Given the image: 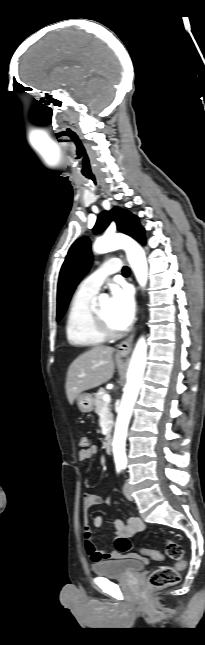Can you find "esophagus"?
<instances>
[{
  "label": "esophagus",
  "mask_w": 205,
  "mask_h": 645,
  "mask_svg": "<svg viewBox=\"0 0 205 645\" xmlns=\"http://www.w3.org/2000/svg\"><path fill=\"white\" fill-rule=\"evenodd\" d=\"M134 334L130 335L127 339L122 341L117 348V353L120 355H127L131 351Z\"/></svg>",
  "instance_id": "esophagus-1"
}]
</instances>
